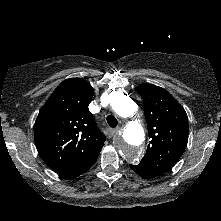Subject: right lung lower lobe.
<instances>
[{"label": "right lung lower lobe", "mask_w": 221, "mask_h": 221, "mask_svg": "<svg viewBox=\"0 0 221 221\" xmlns=\"http://www.w3.org/2000/svg\"><path fill=\"white\" fill-rule=\"evenodd\" d=\"M97 157H98V155L94 156L91 160H89L85 164H83L79 167H76L74 169L65 171L63 173H60V175L65 177V178L77 177V176L81 175L82 173H84L85 171H87L89 168H91L94 165Z\"/></svg>", "instance_id": "obj_1"}]
</instances>
